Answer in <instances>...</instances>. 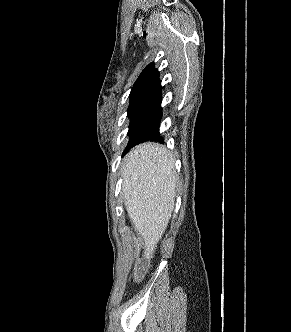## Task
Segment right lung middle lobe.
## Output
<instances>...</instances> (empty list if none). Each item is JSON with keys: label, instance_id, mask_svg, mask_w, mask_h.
<instances>
[{"label": "right lung middle lobe", "instance_id": "obj_1", "mask_svg": "<svg viewBox=\"0 0 291 332\" xmlns=\"http://www.w3.org/2000/svg\"><path fill=\"white\" fill-rule=\"evenodd\" d=\"M146 100V97L131 98L130 104L127 110V116L130 117V120L134 118L135 114L138 111L140 105Z\"/></svg>", "mask_w": 291, "mask_h": 332}]
</instances>
